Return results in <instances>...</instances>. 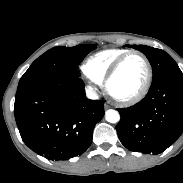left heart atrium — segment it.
<instances>
[{
    "label": "left heart atrium",
    "instance_id": "left-heart-atrium-1",
    "mask_svg": "<svg viewBox=\"0 0 183 183\" xmlns=\"http://www.w3.org/2000/svg\"><path fill=\"white\" fill-rule=\"evenodd\" d=\"M107 92H108L111 96H113V94L111 93V91H110L109 89H107Z\"/></svg>",
    "mask_w": 183,
    "mask_h": 183
}]
</instances>
